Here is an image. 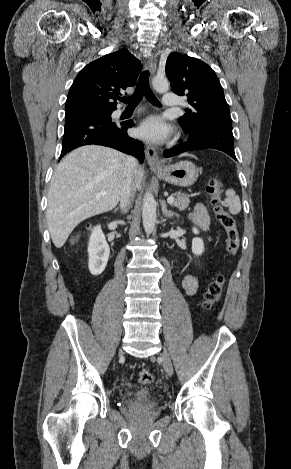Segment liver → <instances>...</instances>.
Returning a JSON list of instances; mask_svg holds the SVG:
<instances>
[{"label": "liver", "instance_id": "1", "mask_svg": "<svg viewBox=\"0 0 291 469\" xmlns=\"http://www.w3.org/2000/svg\"><path fill=\"white\" fill-rule=\"evenodd\" d=\"M126 158L117 150L88 145L72 151L59 163L51 180L46 213L56 248L65 244L80 222L117 206ZM143 175L144 170L138 167L136 189L141 187Z\"/></svg>", "mask_w": 291, "mask_h": 469}]
</instances>
